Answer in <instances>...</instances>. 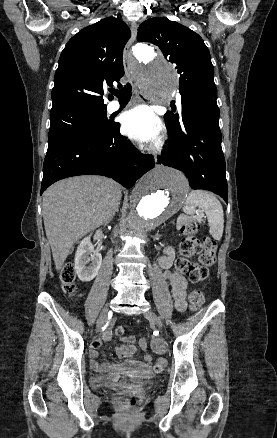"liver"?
<instances>
[{
	"label": "liver",
	"instance_id": "liver-1",
	"mask_svg": "<svg viewBox=\"0 0 277 438\" xmlns=\"http://www.w3.org/2000/svg\"><path fill=\"white\" fill-rule=\"evenodd\" d=\"M121 192L117 182L103 176L66 178L44 192L43 220L56 270H61L77 240L108 224Z\"/></svg>",
	"mask_w": 277,
	"mask_h": 438
}]
</instances>
